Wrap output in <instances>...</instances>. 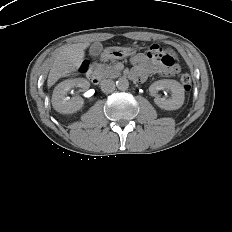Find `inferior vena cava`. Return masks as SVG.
I'll return each mask as SVG.
<instances>
[{"instance_id":"1","label":"inferior vena cava","mask_w":232,"mask_h":232,"mask_svg":"<svg viewBox=\"0 0 232 232\" xmlns=\"http://www.w3.org/2000/svg\"><path fill=\"white\" fill-rule=\"evenodd\" d=\"M101 90L104 93H111L115 90V83L111 79L103 80L101 82Z\"/></svg>"}]
</instances>
